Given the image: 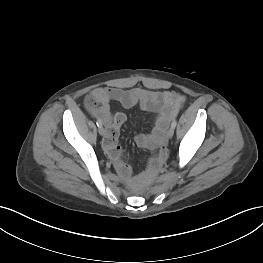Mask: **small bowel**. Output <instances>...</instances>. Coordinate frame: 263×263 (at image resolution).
Instances as JSON below:
<instances>
[{"instance_id":"c3829d8e","label":"small bowel","mask_w":263,"mask_h":263,"mask_svg":"<svg viewBox=\"0 0 263 263\" xmlns=\"http://www.w3.org/2000/svg\"><path fill=\"white\" fill-rule=\"evenodd\" d=\"M91 96L99 99L103 103V108L95 115L106 127V136L103 140V148L114 163L119 175L129 184H133L135 179L132 177L130 166L123 159L122 148L118 144L120 127L126 121L123 112H110L108 103L118 102L124 109L138 105L141 109L156 114L154 128L151 134H140L135 141L139 147L147 149L160 148L159 154L152 168L165 158L163 145L165 142V131L169 121L174 118L185 97L170 91H154L143 88H133L129 90L111 87H100L92 91Z\"/></svg>"}]
</instances>
